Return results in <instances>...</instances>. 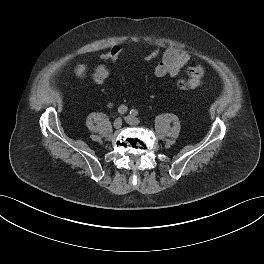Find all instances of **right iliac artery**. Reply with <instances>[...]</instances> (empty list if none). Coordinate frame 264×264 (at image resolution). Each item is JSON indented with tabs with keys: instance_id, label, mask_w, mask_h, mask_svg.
Wrapping results in <instances>:
<instances>
[{
	"instance_id": "right-iliac-artery-1",
	"label": "right iliac artery",
	"mask_w": 264,
	"mask_h": 264,
	"mask_svg": "<svg viewBox=\"0 0 264 264\" xmlns=\"http://www.w3.org/2000/svg\"><path fill=\"white\" fill-rule=\"evenodd\" d=\"M127 110H128V108H127L125 105H121V106H119V108H118V113H120V114H124V113L127 112Z\"/></svg>"
}]
</instances>
